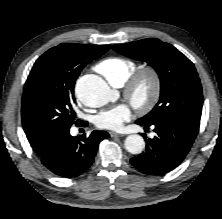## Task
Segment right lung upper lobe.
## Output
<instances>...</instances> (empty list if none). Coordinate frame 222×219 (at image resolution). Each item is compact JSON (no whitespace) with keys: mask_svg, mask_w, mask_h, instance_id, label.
I'll list each match as a JSON object with an SVG mask.
<instances>
[{"mask_svg":"<svg viewBox=\"0 0 222 219\" xmlns=\"http://www.w3.org/2000/svg\"><path fill=\"white\" fill-rule=\"evenodd\" d=\"M66 46H69L70 48H73L78 54H84L87 51L91 50H108L110 47L108 45H102V46H92V45H86V44H74V43H64ZM26 136L28 138V141L30 142V145L35 150V152L40 153L42 152L46 146L49 144L50 140L54 136L39 134V133H33V132H25Z\"/></svg>","mask_w":222,"mask_h":219,"instance_id":"1","label":"right lung upper lobe"}]
</instances>
